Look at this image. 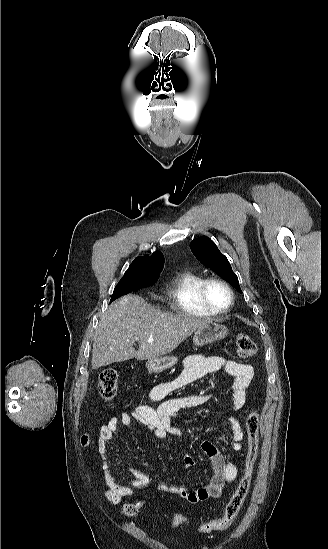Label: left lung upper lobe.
Instances as JSON below:
<instances>
[{"label":"left lung upper lobe","instance_id":"1","mask_svg":"<svg viewBox=\"0 0 328 549\" xmlns=\"http://www.w3.org/2000/svg\"><path fill=\"white\" fill-rule=\"evenodd\" d=\"M190 248L195 257L206 267L216 272L220 277L230 283L237 291L241 292L237 275L231 265L216 244L208 237L201 236L194 239Z\"/></svg>","mask_w":328,"mask_h":549}]
</instances>
